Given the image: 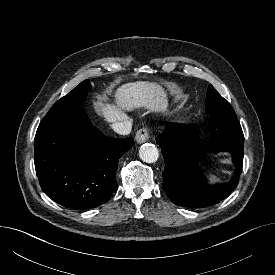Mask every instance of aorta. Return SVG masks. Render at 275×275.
Masks as SVG:
<instances>
[{
    "label": "aorta",
    "mask_w": 275,
    "mask_h": 275,
    "mask_svg": "<svg viewBox=\"0 0 275 275\" xmlns=\"http://www.w3.org/2000/svg\"><path fill=\"white\" fill-rule=\"evenodd\" d=\"M139 157L143 162L154 163L159 158V150L154 144L145 143L139 149Z\"/></svg>",
    "instance_id": "aorta-1"
}]
</instances>
